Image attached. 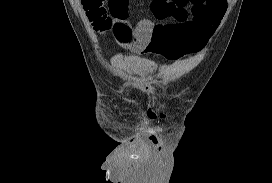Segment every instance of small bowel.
Masks as SVG:
<instances>
[{"label":"small bowel","mask_w":272,"mask_h":183,"mask_svg":"<svg viewBox=\"0 0 272 183\" xmlns=\"http://www.w3.org/2000/svg\"><path fill=\"white\" fill-rule=\"evenodd\" d=\"M226 9L227 0H154L152 11L162 24L141 19L132 26L126 13L113 33L116 42L131 52L176 59L203 48Z\"/></svg>","instance_id":"obj_1"}]
</instances>
